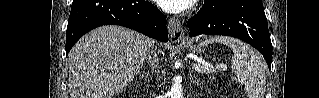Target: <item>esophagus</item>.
<instances>
[{
    "label": "esophagus",
    "instance_id": "34e87169",
    "mask_svg": "<svg viewBox=\"0 0 319 98\" xmlns=\"http://www.w3.org/2000/svg\"><path fill=\"white\" fill-rule=\"evenodd\" d=\"M168 31L172 43H180L184 40V30L178 18L172 17L168 21Z\"/></svg>",
    "mask_w": 319,
    "mask_h": 98
}]
</instances>
